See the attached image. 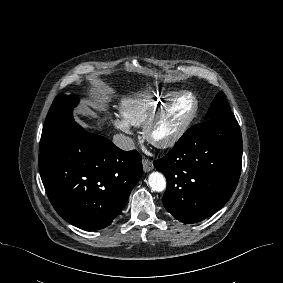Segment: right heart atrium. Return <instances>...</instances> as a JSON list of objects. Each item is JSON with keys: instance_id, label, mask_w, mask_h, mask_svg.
Returning <instances> with one entry per match:
<instances>
[{"instance_id": "d8ad5b80", "label": "right heart atrium", "mask_w": 283, "mask_h": 283, "mask_svg": "<svg viewBox=\"0 0 283 283\" xmlns=\"http://www.w3.org/2000/svg\"><path fill=\"white\" fill-rule=\"evenodd\" d=\"M113 123L118 129L124 132H130V124L123 117H115Z\"/></svg>"}]
</instances>
